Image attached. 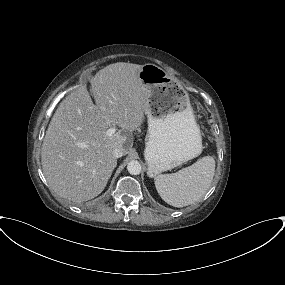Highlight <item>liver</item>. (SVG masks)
I'll list each match as a JSON object with an SVG mask.
<instances>
[{
    "label": "liver",
    "instance_id": "obj_1",
    "mask_svg": "<svg viewBox=\"0 0 285 285\" xmlns=\"http://www.w3.org/2000/svg\"><path fill=\"white\" fill-rule=\"evenodd\" d=\"M141 69L132 63L110 64L90 81L96 105L82 85L58 106L43 140L41 163L60 197L77 203L97 197L117 165L115 148L122 147L125 154L131 149L149 95L139 78ZM112 126L121 130L107 136Z\"/></svg>",
    "mask_w": 285,
    "mask_h": 285
}]
</instances>
